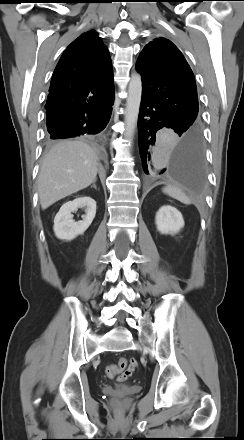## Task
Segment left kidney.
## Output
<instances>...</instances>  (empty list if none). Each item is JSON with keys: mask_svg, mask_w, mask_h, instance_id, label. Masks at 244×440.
Segmentation results:
<instances>
[{"mask_svg": "<svg viewBox=\"0 0 244 440\" xmlns=\"http://www.w3.org/2000/svg\"><path fill=\"white\" fill-rule=\"evenodd\" d=\"M155 223L161 234L174 235L184 227V219L176 208L164 205L156 213Z\"/></svg>", "mask_w": 244, "mask_h": 440, "instance_id": "left-kidney-1", "label": "left kidney"}]
</instances>
